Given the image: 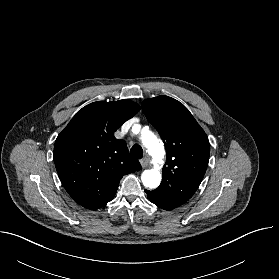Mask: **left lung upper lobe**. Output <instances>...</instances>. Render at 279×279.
<instances>
[{
	"label": "left lung upper lobe",
	"instance_id": "left-lung-upper-lobe-1",
	"mask_svg": "<svg viewBox=\"0 0 279 279\" xmlns=\"http://www.w3.org/2000/svg\"><path fill=\"white\" fill-rule=\"evenodd\" d=\"M148 120L160 133L167 152L160 186L148 194L171 201L187 202L206 172L210 146L207 135L179 101L158 96L142 103Z\"/></svg>",
	"mask_w": 279,
	"mask_h": 279
}]
</instances>
